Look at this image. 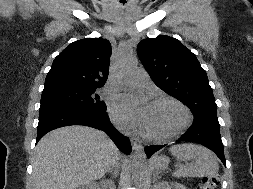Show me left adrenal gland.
I'll list each match as a JSON object with an SVG mask.
<instances>
[{"label":"left adrenal gland","mask_w":253,"mask_h":189,"mask_svg":"<svg viewBox=\"0 0 253 189\" xmlns=\"http://www.w3.org/2000/svg\"><path fill=\"white\" fill-rule=\"evenodd\" d=\"M158 177H159V174L157 172H155L154 178H158Z\"/></svg>","instance_id":"obj_1"}]
</instances>
